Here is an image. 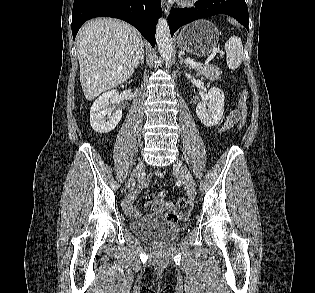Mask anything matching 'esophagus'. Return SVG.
<instances>
[{"label": "esophagus", "instance_id": "esophagus-1", "mask_svg": "<svg viewBox=\"0 0 315 293\" xmlns=\"http://www.w3.org/2000/svg\"><path fill=\"white\" fill-rule=\"evenodd\" d=\"M162 10L165 15H168L170 12V5L167 3L166 0H161Z\"/></svg>", "mask_w": 315, "mask_h": 293}]
</instances>
